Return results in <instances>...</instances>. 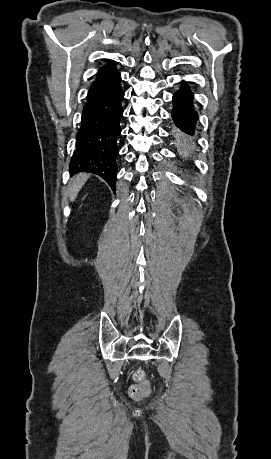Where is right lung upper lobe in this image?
<instances>
[{
	"instance_id": "right-lung-upper-lobe-1",
	"label": "right lung upper lobe",
	"mask_w": 271,
	"mask_h": 459,
	"mask_svg": "<svg viewBox=\"0 0 271 459\" xmlns=\"http://www.w3.org/2000/svg\"><path fill=\"white\" fill-rule=\"evenodd\" d=\"M115 70H116V68H115V65H114V61L109 60L107 65H105L104 67H102L99 70L97 76H101V75H104L106 73H109V72H112V71H115Z\"/></svg>"
}]
</instances>
